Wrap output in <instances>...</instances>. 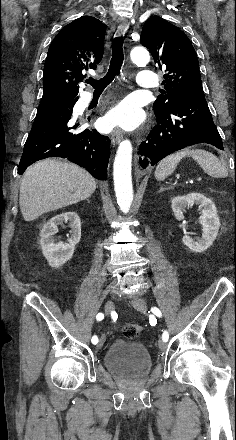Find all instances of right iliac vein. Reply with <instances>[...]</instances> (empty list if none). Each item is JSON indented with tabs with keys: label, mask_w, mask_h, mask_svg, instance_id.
<instances>
[{
	"label": "right iliac vein",
	"mask_w": 236,
	"mask_h": 440,
	"mask_svg": "<svg viewBox=\"0 0 236 440\" xmlns=\"http://www.w3.org/2000/svg\"><path fill=\"white\" fill-rule=\"evenodd\" d=\"M114 307H115V305H114L113 301H107L106 304H105V313L107 315H109L114 310ZM104 341H105V337L102 336L100 338V340H99V343H98L97 347L101 348L103 346V344H104Z\"/></svg>",
	"instance_id": "63e3f726"
}]
</instances>
